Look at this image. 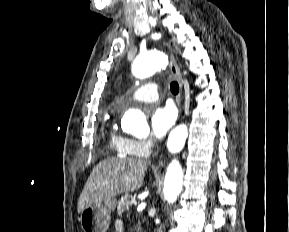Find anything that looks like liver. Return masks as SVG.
<instances>
[{"label": "liver", "mask_w": 289, "mask_h": 232, "mask_svg": "<svg viewBox=\"0 0 289 232\" xmlns=\"http://www.w3.org/2000/svg\"><path fill=\"white\" fill-rule=\"evenodd\" d=\"M148 164L133 158H110L93 168L80 194L78 212L114 198L121 193L139 189L144 181Z\"/></svg>", "instance_id": "obj_1"}]
</instances>
